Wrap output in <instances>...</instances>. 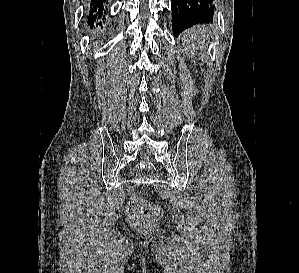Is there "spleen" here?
<instances>
[{"mask_svg": "<svg viewBox=\"0 0 299 273\" xmlns=\"http://www.w3.org/2000/svg\"><path fill=\"white\" fill-rule=\"evenodd\" d=\"M207 32V28L203 26H197L184 32L182 40L184 41L187 57L200 60L206 57Z\"/></svg>", "mask_w": 299, "mask_h": 273, "instance_id": "obj_1", "label": "spleen"}]
</instances>
